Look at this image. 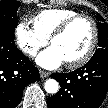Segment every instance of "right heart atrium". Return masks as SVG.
I'll list each match as a JSON object with an SVG mask.
<instances>
[{
  "label": "right heart atrium",
  "mask_w": 108,
  "mask_h": 108,
  "mask_svg": "<svg viewBox=\"0 0 108 108\" xmlns=\"http://www.w3.org/2000/svg\"><path fill=\"white\" fill-rule=\"evenodd\" d=\"M15 40L21 51L30 57L35 56L48 43V39L31 27L25 20L17 23Z\"/></svg>",
  "instance_id": "right-heart-atrium-1"
}]
</instances>
